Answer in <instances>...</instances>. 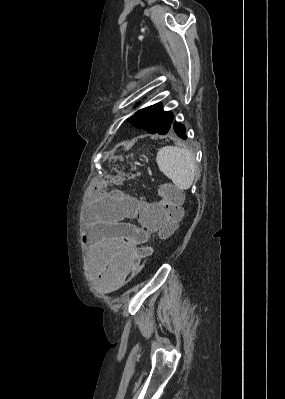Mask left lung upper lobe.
Listing matches in <instances>:
<instances>
[{
  "label": "left lung upper lobe",
  "mask_w": 285,
  "mask_h": 399,
  "mask_svg": "<svg viewBox=\"0 0 285 399\" xmlns=\"http://www.w3.org/2000/svg\"><path fill=\"white\" fill-rule=\"evenodd\" d=\"M173 119V114L163 111L162 104L159 103L137 111L127 121L151 134L164 135L170 130Z\"/></svg>",
  "instance_id": "left-lung-upper-lobe-1"
}]
</instances>
